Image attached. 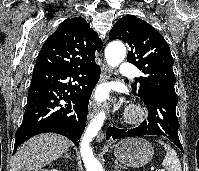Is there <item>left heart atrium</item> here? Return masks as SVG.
<instances>
[{"label":"left heart atrium","mask_w":199,"mask_h":171,"mask_svg":"<svg viewBox=\"0 0 199 171\" xmlns=\"http://www.w3.org/2000/svg\"><path fill=\"white\" fill-rule=\"evenodd\" d=\"M105 97H106L105 92H100V93L98 94V99H99V100H103V99H105Z\"/></svg>","instance_id":"left-heart-atrium-1"}]
</instances>
